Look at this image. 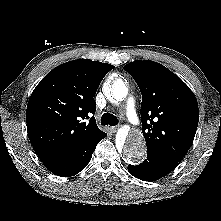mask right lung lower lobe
Masks as SVG:
<instances>
[{"label":"right lung lower lobe","instance_id":"1","mask_svg":"<svg viewBox=\"0 0 221 221\" xmlns=\"http://www.w3.org/2000/svg\"><path fill=\"white\" fill-rule=\"evenodd\" d=\"M106 136L107 134L103 133L55 159L44 162V165L55 175L73 176L86 167L98 142Z\"/></svg>","mask_w":221,"mask_h":221}]
</instances>
